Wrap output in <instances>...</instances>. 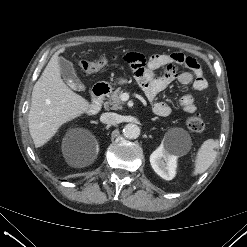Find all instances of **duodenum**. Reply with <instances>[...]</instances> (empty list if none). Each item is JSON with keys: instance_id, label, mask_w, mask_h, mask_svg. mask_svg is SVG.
Here are the masks:
<instances>
[{"instance_id": "1", "label": "duodenum", "mask_w": 247, "mask_h": 247, "mask_svg": "<svg viewBox=\"0 0 247 247\" xmlns=\"http://www.w3.org/2000/svg\"><path fill=\"white\" fill-rule=\"evenodd\" d=\"M110 92V86L105 83L96 84L92 90V102L89 114H95L101 108L104 97Z\"/></svg>"}]
</instances>
